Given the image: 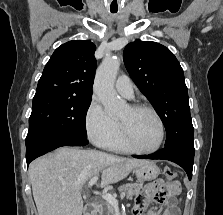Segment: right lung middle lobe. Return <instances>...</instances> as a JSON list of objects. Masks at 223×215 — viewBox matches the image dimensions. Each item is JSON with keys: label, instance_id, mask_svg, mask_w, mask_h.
<instances>
[{"label": "right lung middle lobe", "instance_id": "obj_1", "mask_svg": "<svg viewBox=\"0 0 223 215\" xmlns=\"http://www.w3.org/2000/svg\"><path fill=\"white\" fill-rule=\"evenodd\" d=\"M90 103L91 99L35 95L26 145L60 137L87 139L86 114Z\"/></svg>", "mask_w": 223, "mask_h": 215}]
</instances>
